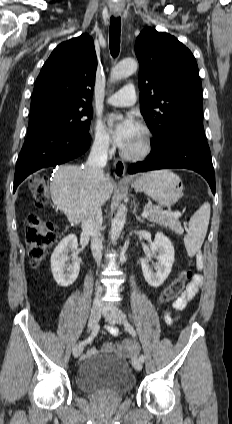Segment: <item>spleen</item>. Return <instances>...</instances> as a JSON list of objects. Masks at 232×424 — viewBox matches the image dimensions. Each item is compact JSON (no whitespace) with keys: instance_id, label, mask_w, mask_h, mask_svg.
Listing matches in <instances>:
<instances>
[{"instance_id":"spleen-1","label":"spleen","mask_w":232,"mask_h":424,"mask_svg":"<svg viewBox=\"0 0 232 424\" xmlns=\"http://www.w3.org/2000/svg\"><path fill=\"white\" fill-rule=\"evenodd\" d=\"M209 219L210 204L205 202L191 217L189 230L184 236V244L190 257L200 250L207 233Z\"/></svg>"}]
</instances>
